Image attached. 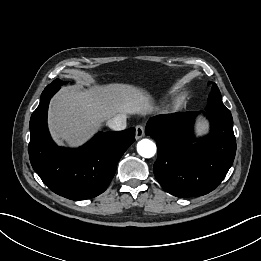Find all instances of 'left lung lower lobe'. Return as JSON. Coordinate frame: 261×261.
I'll list each match as a JSON object with an SVG mask.
<instances>
[{"mask_svg": "<svg viewBox=\"0 0 261 261\" xmlns=\"http://www.w3.org/2000/svg\"><path fill=\"white\" fill-rule=\"evenodd\" d=\"M199 112L158 115L146 125L157 142L154 174L163 189L176 197L205 195L224 179L236 153L231 114L207 111L209 135L195 141L192 126Z\"/></svg>", "mask_w": 261, "mask_h": 261, "instance_id": "0a47b994", "label": "left lung lower lobe"}]
</instances>
